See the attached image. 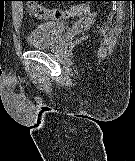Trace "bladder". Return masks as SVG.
Listing matches in <instances>:
<instances>
[{
	"label": "bladder",
	"instance_id": "31cf9c89",
	"mask_svg": "<svg viewBox=\"0 0 135 161\" xmlns=\"http://www.w3.org/2000/svg\"><path fill=\"white\" fill-rule=\"evenodd\" d=\"M65 25L58 21L39 23L28 35L27 45L33 49H45L56 45L65 33Z\"/></svg>",
	"mask_w": 135,
	"mask_h": 161
}]
</instances>
